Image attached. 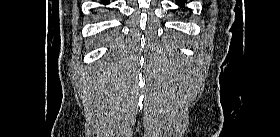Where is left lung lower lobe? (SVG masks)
Instances as JSON below:
<instances>
[{
    "label": "left lung lower lobe",
    "instance_id": "left-lung-lower-lobe-1",
    "mask_svg": "<svg viewBox=\"0 0 280 137\" xmlns=\"http://www.w3.org/2000/svg\"><path fill=\"white\" fill-rule=\"evenodd\" d=\"M176 2H177L178 5H180L181 7H183V6H184L185 0H181V1H180V0H177Z\"/></svg>",
    "mask_w": 280,
    "mask_h": 137
}]
</instances>
